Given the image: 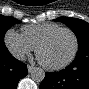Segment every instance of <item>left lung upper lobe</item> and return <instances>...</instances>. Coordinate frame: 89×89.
I'll return each instance as SVG.
<instances>
[{
	"instance_id": "1",
	"label": "left lung upper lobe",
	"mask_w": 89,
	"mask_h": 89,
	"mask_svg": "<svg viewBox=\"0 0 89 89\" xmlns=\"http://www.w3.org/2000/svg\"><path fill=\"white\" fill-rule=\"evenodd\" d=\"M55 21L66 24L76 35L79 51L89 49V24L81 19L70 17H59Z\"/></svg>"
}]
</instances>
